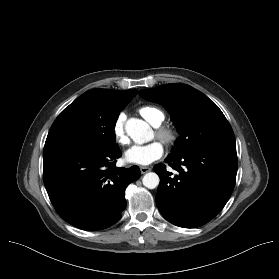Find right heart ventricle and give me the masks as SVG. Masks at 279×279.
<instances>
[{
	"label": "right heart ventricle",
	"mask_w": 279,
	"mask_h": 279,
	"mask_svg": "<svg viewBox=\"0 0 279 279\" xmlns=\"http://www.w3.org/2000/svg\"><path fill=\"white\" fill-rule=\"evenodd\" d=\"M140 115L154 126H158L164 120V114L156 107L145 105L139 109Z\"/></svg>",
	"instance_id": "right-heart-ventricle-1"
}]
</instances>
